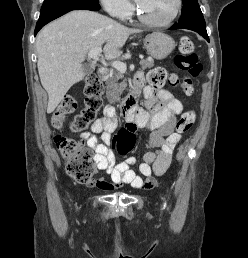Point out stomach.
<instances>
[{"mask_svg": "<svg viewBox=\"0 0 248 258\" xmlns=\"http://www.w3.org/2000/svg\"><path fill=\"white\" fill-rule=\"evenodd\" d=\"M144 46L149 55L161 60L166 58L175 48V41L165 33L154 32L144 39Z\"/></svg>", "mask_w": 248, "mask_h": 258, "instance_id": "stomach-1", "label": "stomach"}]
</instances>
